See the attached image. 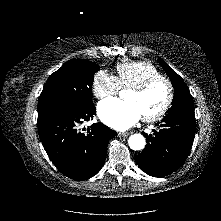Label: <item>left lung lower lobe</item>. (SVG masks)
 I'll return each instance as SVG.
<instances>
[{"mask_svg": "<svg viewBox=\"0 0 221 221\" xmlns=\"http://www.w3.org/2000/svg\"><path fill=\"white\" fill-rule=\"evenodd\" d=\"M194 114L166 115L160 130L148 136L144 150L136 156L138 166L148 175L163 177L186 161L195 135Z\"/></svg>", "mask_w": 221, "mask_h": 221, "instance_id": "0a47b994", "label": "left lung lower lobe"}]
</instances>
